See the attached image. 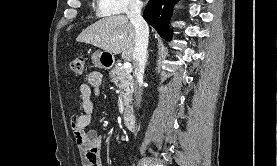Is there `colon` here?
Segmentation results:
<instances>
[{"label": "colon", "instance_id": "colon-1", "mask_svg": "<svg viewBox=\"0 0 277 166\" xmlns=\"http://www.w3.org/2000/svg\"><path fill=\"white\" fill-rule=\"evenodd\" d=\"M70 69L78 76L84 75L86 71V60L83 56H76L70 62Z\"/></svg>", "mask_w": 277, "mask_h": 166}]
</instances>
